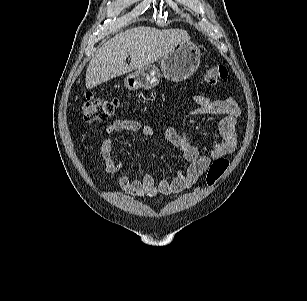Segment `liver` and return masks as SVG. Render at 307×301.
Returning <instances> with one entry per match:
<instances>
[{"label":"liver","mask_w":307,"mask_h":301,"mask_svg":"<svg viewBox=\"0 0 307 301\" xmlns=\"http://www.w3.org/2000/svg\"><path fill=\"white\" fill-rule=\"evenodd\" d=\"M182 29L135 27L109 39L92 57L86 71V88L92 89L116 76L142 69L169 53L176 44L189 41ZM130 56V65L126 58Z\"/></svg>","instance_id":"liver-1"}]
</instances>
